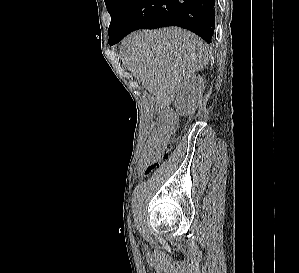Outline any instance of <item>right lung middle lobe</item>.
I'll return each instance as SVG.
<instances>
[{
  "mask_svg": "<svg viewBox=\"0 0 299 273\" xmlns=\"http://www.w3.org/2000/svg\"><path fill=\"white\" fill-rule=\"evenodd\" d=\"M134 0H105L108 12L111 15L109 26V44L115 38Z\"/></svg>",
  "mask_w": 299,
  "mask_h": 273,
  "instance_id": "dd1d6c3e",
  "label": "right lung middle lobe"
}]
</instances>
